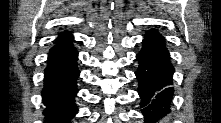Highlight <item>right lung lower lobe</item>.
Returning a JSON list of instances; mask_svg holds the SVG:
<instances>
[{
    "mask_svg": "<svg viewBox=\"0 0 221 123\" xmlns=\"http://www.w3.org/2000/svg\"><path fill=\"white\" fill-rule=\"evenodd\" d=\"M73 36L59 35L49 51L45 69L43 102L48 123H70L78 112L74 98L78 92L76 81L78 52L73 46Z\"/></svg>",
    "mask_w": 221,
    "mask_h": 123,
    "instance_id": "obj_1",
    "label": "right lung lower lobe"
}]
</instances>
